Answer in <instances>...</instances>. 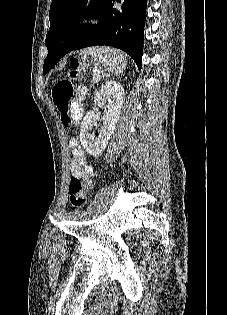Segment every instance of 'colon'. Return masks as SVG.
<instances>
[{"label":"colon","instance_id":"obj_1","mask_svg":"<svg viewBox=\"0 0 227 315\" xmlns=\"http://www.w3.org/2000/svg\"><path fill=\"white\" fill-rule=\"evenodd\" d=\"M85 63L82 60L74 59L61 73L52 88V98L59 111L60 120L63 126L71 127L79 117L78 111H75L71 104L74 95L73 82L80 77ZM68 194L70 202L75 207L84 206L89 199V190L80 179L72 177L69 182Z\"/></svg>","mask_w":227,"mask_h":315}]
</instances>
